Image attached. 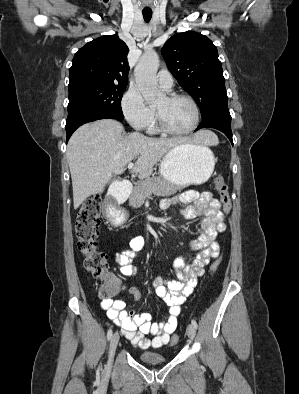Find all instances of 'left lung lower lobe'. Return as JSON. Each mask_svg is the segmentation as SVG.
<instances>
[{"label": "left lung lower lobe", "instance_id": "1", "mask_svg": "<svg viewBox=\"0 0 299 394\" xmlns=\"http://www.w3.org/2000/svg\"><path fill=\"white\" fill-rule=\"evenodd\" d=\"M201 128H215L223 132L231 141L232 140V132H231V115L228 109L217 110L209 116L203 118V121L197 127V130Z\"/></svg>", "mask_w": 299, "mask_h": 394}]
</instances>
